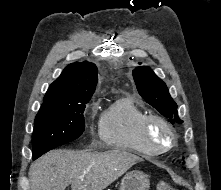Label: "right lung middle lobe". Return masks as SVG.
I'll return each instance as SVG.
<instances>
[{
  "label": "right lung middle lobe",
  "instance_id": "right-lung-middle-lobe-1",
  "mask_svg": "<svg viewBox=\"0 0 221 190\" xmlns=\"http://www.w3.org/2000/svg\"><path fill=\"white\" fill-rule=\"evenodd\" d=\"M89 100L73 106L41 107L32 137L33 160L80 137L85 130L83 112Z\"/></svg>",
  "mask_w": 221,
  "mask_h": 190
}]
</instances>
